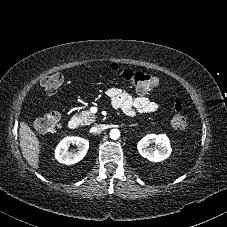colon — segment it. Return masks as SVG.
<instances>
[{
  "instance_id": "colon-1",
  "label": "colon",
  "mask_w": 227,
  "mask_h": 227,
  "mask_svg": "<svg viewBox=\"0 0 227 227\" xmlns=\"http://www.w3.org/2000/svg\"><path fill=\"white\" fill-rule=\"evenodd\" d=\"M111 71L141 94L152 92L159 85V80L148 73L122 68L117 64L111 66ZM62 78L61 73H53L42 80V86L46 92L55 93L61 86ZM172 107L174 115L171 120V126L177 131L185 130L188 126V119L184 113L181 101L177 98L174 99ZM60 121V114L57 111H51L35 119L33 127L37 132L50 133L58 129Z\"/></svg>"
}]
</instances>
